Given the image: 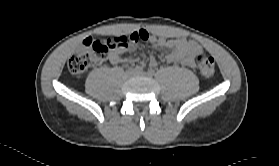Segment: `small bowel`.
Masks as SVG:
<instances>
[{
	"instance_id": "c3829d8e",
	"label": "small bowel",
	"mask_w": 279,
	"mask_h": 166,
	"mask_svg": "<svg viewBox=\"0 0 279 166\" xmlns=\"http://www.w3.org/2000/svg\"><path fill=\"white\" fill-rule=\"evenodd\" d=\"M128 36L133 37L135 41L125 48L115 49L111 52L110 62L113 65H118L127 61L131 62V60L124 59L123 55L130 46L135 45L139 40L155 44L159 48L170 49V53L166 56L167 62H180L187 67L195 66V57L202 51L201 46L193 40H187L185 38L166 39L164 37H156L149 34L145 29L135 31ZM156 65L157 61L154 55H151L149 59V66L156 67Z\"/></svg>"
}]
</instances>
